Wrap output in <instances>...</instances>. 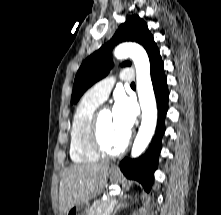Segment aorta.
Instances as JSON below:
<instances>
[{"instance_id": "1", "label": "aorta", "mask_w": 221, "mask_h": 215, "mask_svg": "<svg viewBox=\"0 0 221 215\" xmlns=\"http://www.w3.org/2000/svg\"><path fill=\"white\" fill-rule=\"evenodd\" d=\"M114 55L118 59L130 57L136 69L142 121L131 150V156L135 158L142 154L148 146L157 124V106L150 76V62L144 48L136 43L120 44L115 48Z\"/></svg>"}]
</instances>
